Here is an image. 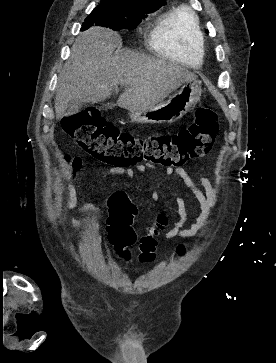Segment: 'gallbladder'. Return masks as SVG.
Here are the masks:
<instances>
[{"label":"gallbladder","mask_w":276,"mask_h":363,"mask_svg":"<svg viewBox=\"0 0 276 363\" xmlns=\"http://www.w3.org/2000/svg\"><path fill=\"white\" fill-rule=\"evenodd\" d=\"M82 107V103L80 102H74V103H70L68 108H67V112L73 114H76L80 111Z\"/></svg>","instance_id":"bac80fb5"}]
</instances>
